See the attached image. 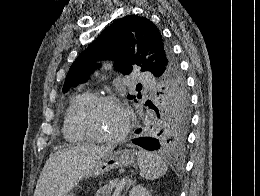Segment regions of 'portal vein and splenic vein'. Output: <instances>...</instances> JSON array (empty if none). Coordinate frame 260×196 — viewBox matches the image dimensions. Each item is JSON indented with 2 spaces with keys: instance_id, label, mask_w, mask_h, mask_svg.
I'll return each mask as SVG.
<instances>
[{
  "instance_id": "18ae733b",
  "label": "portal vein and splenic vein",
  "mask_w": 260,
  "mask_h": 196,
  "mask_svg": "<svg viewBox=\"0 0 260 196\" xmlns=\"http://www.w3.org/2000/svg\"><path fill=\"white\" fill-rule=\"evenodd\" d=\"M125 182H126V179H123L122 181L119 182V186H117L116 189L114 190L113 196H119L121 191L124 190Z\"/></svg>"
}]
</instances>
